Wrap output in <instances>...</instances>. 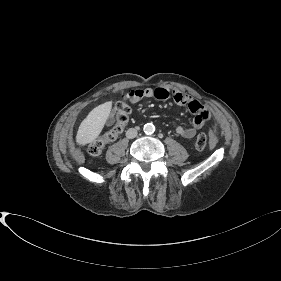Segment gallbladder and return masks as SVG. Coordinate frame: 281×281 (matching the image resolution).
Listing matches in <instances>:
<instances>
[{
    "label": "gallbladder",
    "mask_w": 281,
    "mask_h": 281,
    "mask_svg": "<svg viewBox=\"0 0 281 281\" xmlns=\"http://www.w3.org/2000/svg\"><path fill=\"white\" fill-rule=\"evenodd\" d=\"M113 123H114V119L113 118L108 119V121H107L108 125H112Z\"/></svg>",
    "instance_id": "gallbladder-1"
}]
</instances>
